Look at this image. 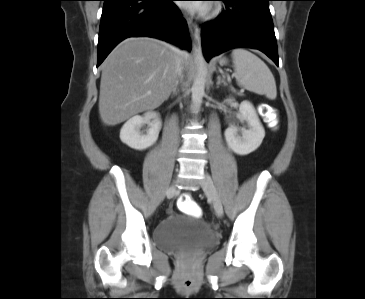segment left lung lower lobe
I'll list each match as a JSON object with an SVG mask.
<instances>
[{"mask_svg": "<svg viewBox=\"0 0 365 299\" xmlns=\"http://www.w3.org/2000/svg\"><path fill=\"white\" fill-rule=\"evenodd\" d=\"M226 10L202 26L204 56L237 47L255 48L278 65V49L268 2L271 0H220Z\"/></svg>", "mask_w": 365, "mask_h": 299, "instance_id": "left-lung-lower-lobe-1", "label": "left lung lower lobe"}]
</instances>
